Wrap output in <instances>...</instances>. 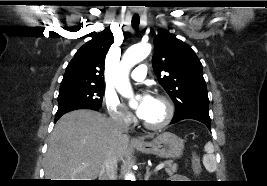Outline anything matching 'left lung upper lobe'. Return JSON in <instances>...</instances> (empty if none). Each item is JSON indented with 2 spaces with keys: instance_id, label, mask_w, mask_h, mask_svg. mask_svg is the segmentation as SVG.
I'll list each match as a JSON object with an SVG mask.
<instances>
[{
  "instance_id": "left-lung-upper-lobe-1",
  "label": "left lung upper lobe",
  "mask_w": 267,
  "mask_h": 186,
  "mask_svg": "<svg viewBox=\"0 0 267 186\" xmlns=\"http://www.w3.org/2000/svg\"><path fill=\"white\" fill-rule=\"evenodd\" d=\"M154 47L153 69L175 103V115L193 111L208 113L202 64L191 47L166 30L155 36Z\"/></svg>"
}]
</instances>
